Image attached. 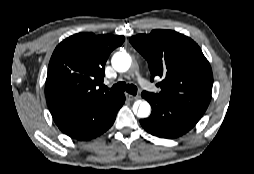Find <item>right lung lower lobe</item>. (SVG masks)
<instances>
[{
	"label": "right lung lower lobe",
	"mask_w": 254,
	"mask_h": 174,
	"mask_svg": "<svg viewBox=\"0 0 254 174\" xmlns=\"http://www.w3.org/2000/svg\"><path fill=\"white\" fill-rule=\"evenodd\" d=\"M125 101L123 93L113 98L79 100L52 117L58 128L77 140H90L107 131Z\"/></svg>",
	"instance_id": "obj_1"
}]
</instances>
